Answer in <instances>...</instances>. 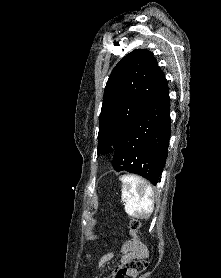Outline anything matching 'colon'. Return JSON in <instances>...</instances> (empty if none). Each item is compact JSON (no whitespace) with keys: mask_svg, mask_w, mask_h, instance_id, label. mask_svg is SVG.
<instances>
[{"mask_svg":"<svg viewBox=\"0 0 221 278\" xmlns=\"http://www.w3.org/2000/svg\"><path fill=\"white\" fill-rule=\"evenodd\" d=\"M140 226V223L136 220L130 223V228L132 230H137ZM148 265V254L143 253L137 258L127 262L124 267L116 273V278H134L145 271Z\"/></svg>","mask_w":221,"mask_h":278,"instance_id":"1","label":"colon"}]
</instances>
